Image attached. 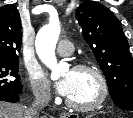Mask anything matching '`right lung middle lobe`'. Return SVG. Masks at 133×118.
Wrapping results in <instances>:
<instances>
[{"instance_id":"right-lung-middle-lobe-1","label":"right lung middle lobe","mask_w":133,"mask_h":118,"mask_svg":"<svg viewBox=\"0 0 133 118\" xmlns=\"http://www.w3.org/2000/svg\"><path fill=\"white\" fill-rule=\"evenodd\" d=\"M18 61L0 60V92H12L22 87Z\"/></svg>"}]
</instances>
